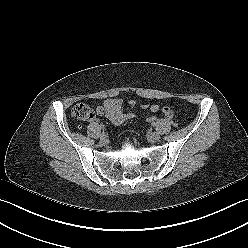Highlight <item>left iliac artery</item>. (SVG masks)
<instances>
[{
    "label": "left iliac artery",
    "mask_w": 248,
    "mask_h": 248,
    "mask_svg": "<svg viewBox=\"0 0 248 248\" xmlns=\"http://www.w3.org/2000/svg\"><path fill=\"white\" fill-rule=\"evenodd\" d=\"M152 126H155V122L152 123Z\"/></svg>",
    "instance_id": "44dca946"
}]
</instances>
